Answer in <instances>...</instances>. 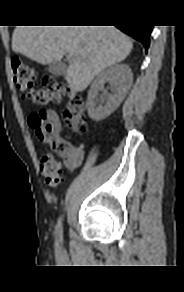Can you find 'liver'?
<instances>
[{"label":"liver","mask_w":184,"mask_h":292,"mask_svg":"<svg viewBox=\"0 0 184 292\" xmlns=\"http://www.w3.org/2000/svg\"><path fill=\"white\" fill-rule=\"evenodd\" d=\"M129 37L114 26H17L12 50L37 63L58 62L72 54L65 80L83 91L105 68L123 61L132 51Z\"/></svg>","instance_id":"liver-1"}]
</instances>
